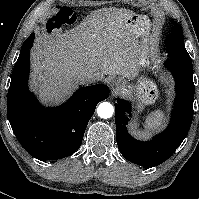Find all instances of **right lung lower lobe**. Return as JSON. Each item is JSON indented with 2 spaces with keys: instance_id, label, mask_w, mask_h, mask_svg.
I'll use <instances>...</instances> for the list:
<instances>
[{
  "instance_id": "1",
  "label": "right lung lower lobe",
  "mask_w": 199,
  "mask_h": 199,
  "mask_svg": "<svg viewBox=\"0 0 199 199\" xmlns=\"http://www.w3.org/2000/svg\"><path fill=\"white\" fill-rule=\"evenodd\" d=\"M29 50L18 58L11 75L8 119L18 141L31 156L61 159L80 147L88 121L96 105L109 96V88L103 84L82 87L63 105L45 108L28 89Z\"/></svg>"
}]
</instances>
